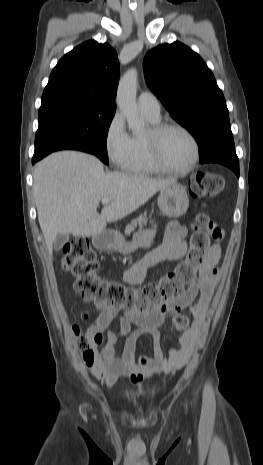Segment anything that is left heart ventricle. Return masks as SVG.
I'll use <instances>...</instances> for the list:
<instances>
[{
    "label": "left heart ventricle",
    "mask_w": 263,
    "mask_h": 465,
    "mask_svg": "<svg viewBox=\"0 0 263 465\" xmlns=\"http://www.w3.org/2000/svg\"><path fill=\"white\" fill-rule=\"evenodd\" d=\"M162 154L165 161L177 168L190 164L194 156V147L189 137L180 130H168L162 137Z\"/></svg>",
    "instance_id": "obj_1"
}]
</instances>
